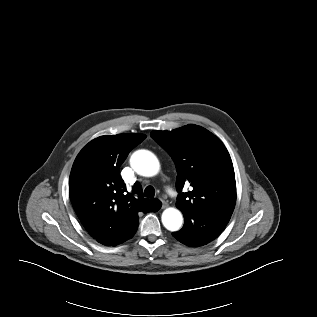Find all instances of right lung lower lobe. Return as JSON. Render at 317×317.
<instances>
[{
  "instance_id": "obj_1",
  "label": "right lung lower lobe",
  "mask_w": 317,
  "mask_h": 317,
  "mask_svg": "<svg viewBox=\"0 0 317 317\" xmlns=\"http://www.w3.org/2000/svg\"><path fill=\"white\" fill-rule=\"evenodd\" d=\"M161 206H162V203L161 202H159V203H157L149 212H157L160 208H161ZM135 234V233H134ZM133 234V235H134ZM132 235V236H133ZM93 237V236H92ZM93 238H95L99 243H101V238H97V237H93ZM102 244V243H101Z\"/></svg>"
}]
</instances>
